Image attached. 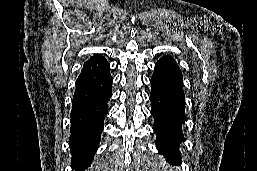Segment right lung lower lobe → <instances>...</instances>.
Wrapping results in <instances>:
<instances>
[{
  "mask_svg": "<svg viewBox=\"0 0 257 171\" xmlns=\"http://www.w3.org/2000/svg\"><path fill=\"white\" fill-rule=\"evenodd\" d=\"M109 63L105 58L86 62L76 82L72 100L71 167L84 171L91 164L98 149L104 118L108 113V101L112 95Z\"/></svg>",
  "mask_w": 257,
  "mask_h": 171,
  "instance_id": "98d812e1",
  "label": "right lung lower lobe"
}]
</instances>
